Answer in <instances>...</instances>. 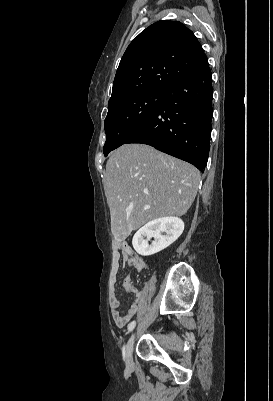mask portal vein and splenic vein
<instances>
[{
  "label": "portal vein and splenic vein",
  "mask_w": 273,
  "mask_h": 401,
  "mask_svg": "<svg viewBox=\"0 0 273 401\" xmlns=\"http://www.w3.org/2000/svg\"><path fill=\"white\" fill-rule=\"evenodd\" d=\"M144 209H149V205H146V207H144Z\"/></svg>",
  "instance_id": "1"
}]
</instances>
